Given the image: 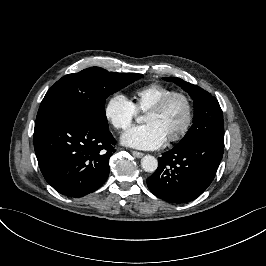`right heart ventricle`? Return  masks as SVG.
I'll use <instances>...</instances> for the list:
<instances>
[{"mask_svg": "<svg viewBox=\"0 0 266 266\" xmlns=\"http://www.w3.org/2000/svg\"><path fill=\"white\" fill-rule=\"evenodd\" d=\"M172 91H174L173 88L169 86L152 83L136 88L132 97L138 111H147L149 107Z\"/></svg>", "mask_w": 266, "mask_h": 266, "instance_id": "obj_1", "label": "right heart ventricle"}]
</instances>
